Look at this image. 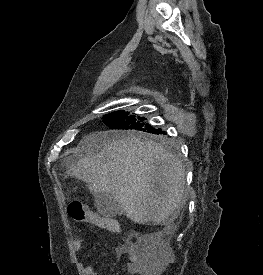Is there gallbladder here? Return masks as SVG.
Segmentation results:
<instances>
[{
  "label": "gallbladder",
  "mask_w": 263,
  "mask_h": 275,
  "mask_svg": "<svg viewBox=\"0 0 263 275\" xmlns=\"http://www.w3.org/2000/svg\"><path fill=\"white\" fill-rule=\"evenodd\" d=\"M97 211L104 217H115L123 214L121 204L109 193L94 194Z\"/></svg>",
  "instance_id": "obj_1"
}]
</instances>
